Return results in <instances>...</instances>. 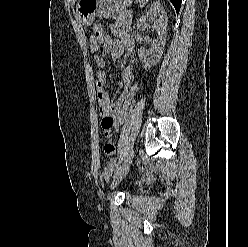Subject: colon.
I'll return each mask as SVG.
<instances>
[{
	"mask_svg": "<svg viewBox=\"0 0 248 247\" xmlns=\"http://www.w3.org/2000/svg\"><path fill=\"white\" fill-rule=\"evenodd\" d=\"M93 35L96 37L104 36V29L100 23H95L93 25ZM139 91H140V85L138 83H136L131 87V89L127 93L125 101H124L123 105L121 106V109H120V111H119V113L115 119L114 126H115L117 131L123 125V123L126 119V116L129 112L130 108L134 104L135 99H136Z\"/></svg>",
	"mask_w": 248,
	"mask_h": 247,
	"instance_id": "colon-1",
	"label": "colon"
}]
</instances>
